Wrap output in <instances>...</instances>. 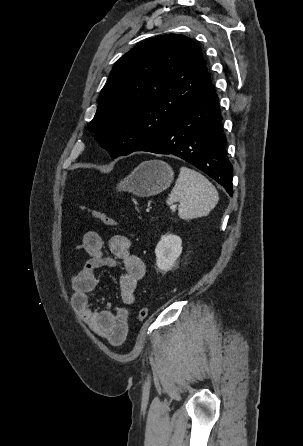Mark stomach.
I'll return each instance as SVG.
<instances>
[{
	"label": "stomach",
	"instance_id": "stomach-1",
	"mask_svg": "<svg viewBox=\"0 0 303 446\" xmlns=\"http://www.w3.org/2000/svg\"><path fill=\"white\" fill-rule=\"evenodd\" d=\"M173 176V169L167 163L160 160L145 161L124 178L117 189L139 197H149L168 188Z\"/></svg>",
	"mask_w": 303,
	"mask_h": 446
}]
</instances>
